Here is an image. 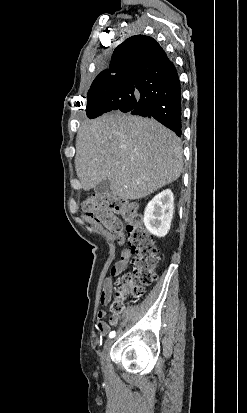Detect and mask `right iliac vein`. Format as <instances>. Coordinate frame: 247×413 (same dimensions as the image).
Listing matches in <instances>:
<instances>
[{
  "instance_id": "obj_1",
  "label": "right iliac vein",
  "mask_w": 247,
  "mask_h": 413,
  "mask_svg": "<svg viewBox=\"0 0 247 413\" xmlns=\"http://www.w3.org/2000/svg\"><path fill=\"white\" fill-rule=\"evenodd\" d=\"M112 344H113V340H108V341L105 342L104 348H103L102 353L100 355L102 364H104L105 357L107 355V352L111 349Z\"/></svg>"
}]
</instances>
